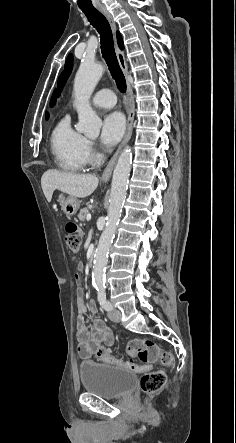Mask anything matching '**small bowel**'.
<instances>
[{"label": "small bowel", "mask_w": 236, "mask_h": 443, "mask_svg": "<svg viewBox=\"0 0 236 443\" xmlns=\"http://www.w3.org/2000/svg\"><path fill=\"white\" fill-rule=\"evenodd\" d=\"M78 270H82V265L78 264ZM76 283L78 285L76 289V309L78 312V317L76 319V329H77V340L79 342L78 353L80 357L87 358L94 351V347L98 346L100 343L106 346H111L114 342L111 332L104 326L101 320L95 319L92 322V329H89L86 324L85 314L87 312L96 313L97 306L95 302L91 301L86 304L83 300V290L79 286L81 284V277H75ZM150 368V367H149Z\"/></svg>", "instance_id": "small-bowel-1"}]
</instances>
